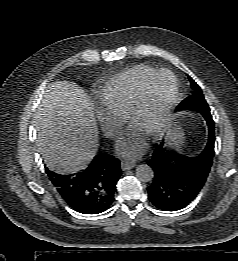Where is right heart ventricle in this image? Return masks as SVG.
<instances>
[{
  "label": "right heart ventricle",
  "instance_id": "1",
  "mask_svg": "<svg viewBox=\"0 0 238 261\" xmlns=\"http://www.w3.org/2000/svg\"><path fill=\"white\" fill-rule=\"evenodd\" d=\"M155 69L140 64L122 72L97 92L100 105L105 110L128 116L142 81Z\"/></svg>",
  "mask_w": 238,
  "mask_h": 261
}]
</instances>
